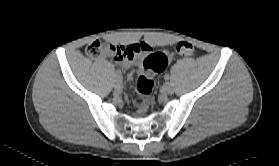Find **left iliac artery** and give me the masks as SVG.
<instances>
[{"label": "left iliac artery", "mask_w": 279, "mask_h": 166, "mask_svg": "<svg viewBox=\"0 0 279 166\" xmlns=\"http://www.w3.org/2000/svg\"><path fill=\"white\" fill-rule=\"evenodd\" d=\"M169 78H170L169 74H165L164 79L169 80Z\"/></svg>", "instance_id": "1"}]
</instances>
